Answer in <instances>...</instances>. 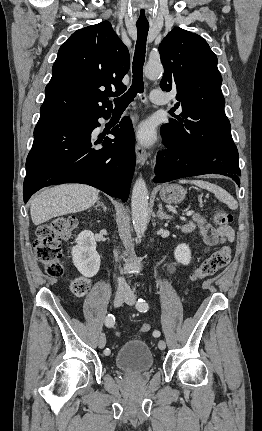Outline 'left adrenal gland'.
Instances as JSON below:
<instances>
[{
    "mask_svg": "<svg viewBox=\"0 0 262 431\" xmlns=\"http://www.w3.org/2000/svg\"><path fill=\"white\" fill-rule=\"evenodd\" d=\"M157 217L161 220L162 219H171V216L164 213L163 208H162V204H159V206H158Z\"/></svg>",
    "mask_w": 262,
    "mask_h": 431,
    "instance_id": "a2214340",
    "label": "left adrenal gland"
}]
</instances>
